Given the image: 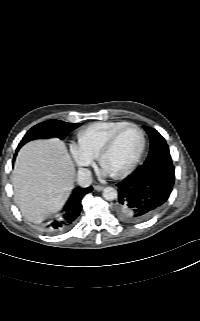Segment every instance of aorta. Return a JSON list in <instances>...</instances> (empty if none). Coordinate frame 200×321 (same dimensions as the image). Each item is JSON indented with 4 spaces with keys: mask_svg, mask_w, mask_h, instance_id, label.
<instances>
[{
    "mask_svg": "<svg viewBox=\"0 0 200 321\" xmlns=\"http://www.w3.org/2000/svg\"><path fill=\"white\" fill-rule=\"evenodd\" d=\"M103 197L108 201H112L117 198V191L113 187H106L103 190Z\"/></svg>",
    "mask_w": 200,
    "mask_h": 321,
    "instance_id": "aorta-1",
    "label": "aorta"
}]
</instances>
